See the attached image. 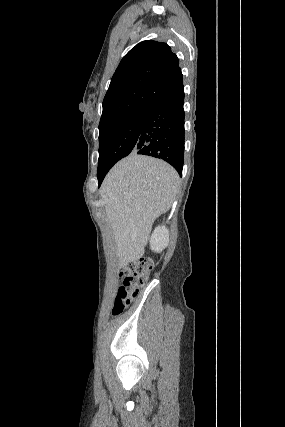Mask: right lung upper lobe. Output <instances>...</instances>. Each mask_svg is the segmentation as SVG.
<instances>
[{
	"label": "right lung upper lobe",
	"instance_id": "obj_1",
	"mask_svg": "<svg viewBox=\"0 0 285 427\" xmlns=\"http://www.w3.org/2000/svg\"><path fill=\"white\" fill-rule=\"evenodd\" d=\"M182 81L179 60L167 44L140 42L123 57L111 79L99 125L147 109L180 88Z\"/></svg>",
	"mask_w": 285,
	"mask_h": 427
}]
</instances>
